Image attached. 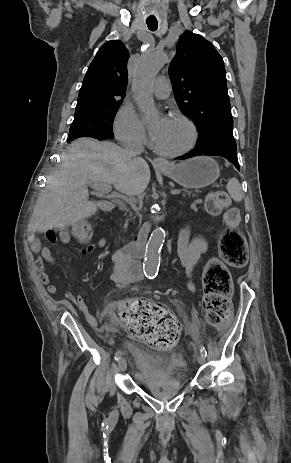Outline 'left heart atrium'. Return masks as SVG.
<instances>
[{"mask_svg": "<svg viewBox=\"0 0 291 463\" xmlns=\"http://www.w3.org/2000/svg\"><path fill=\"white\" fill-rule=\"evenodd\" d=\"M171 121V117L163 116L150 126V136L154 143H156L162 134L166 131Z\"/></svg>", "mask_w": 291, "mask_h": 463, "instance_id": "left-heart-atrium-1", "label": "left heart atrium"}]
</instances>
